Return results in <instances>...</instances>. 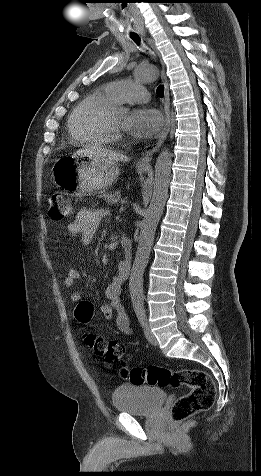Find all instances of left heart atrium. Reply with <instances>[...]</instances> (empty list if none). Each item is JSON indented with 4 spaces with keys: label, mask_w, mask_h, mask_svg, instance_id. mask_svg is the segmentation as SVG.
I'll use <instances>...</instances> for the list:
<instances>
[{
    "label": "left heart atrium",
    "mask_w": 261,
    "mask_h": 476,
    "mask_svg": "<svg viewBox=\"0 0 261 476\" xmlns=\"http://www.w3.org/2000/svg\"><path fill=\"white\" fill-rule=\"evenodd\" d=\"M162 123L163 119L158 110L141 107L128 115L124 128L136 136L150 137L159 131Z\"/></svg>",
    "instance_id": "obj_1"
}]
</instances>
